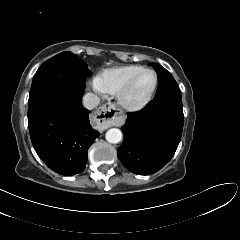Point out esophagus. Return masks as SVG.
I'll return each mask as SVG.
<instances>
[{
  "label": "esophagus",
  "mask_w": 240,
  "mask_h": 240,
  "mask_svg": "<svg viewBox=\"0 0 240 240\" xmlns=\"http://www.w3.org/2000/svg\"><path fill=\"white\" fill-rule=\"evenodd\" d=\"M119 114L114 104H104L96 110L95 122L103 129H107L114 124Z\"/></svg>",
  "instance_id": "esophagus-1"
}]
</instances>
